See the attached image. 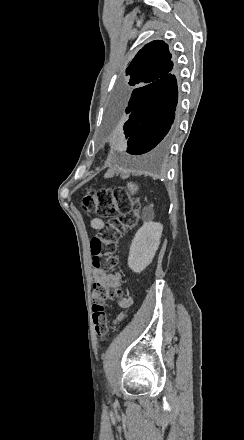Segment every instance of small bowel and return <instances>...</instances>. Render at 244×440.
I'll return each instance as SVG.
<instances>
[{
	"label": "small bowel",
	"instance_id": "c3829d8e",
	"mask_svg": "<svg viewBox=\"0 0 244 440\" xmlns=\"http://www.w3.org/2000/svg\"><path fill=\"white\" fill-rule=\"evenodd\" d=\"M90 225L92 227V229L94 230H100L103 226H104V222L103 220L99 219V218H94L91 220ZM92 281L94 283V285H106L108 287H118L120 284V276L118 274L115 273H108L105 269L103 268H93L92 270ZM133 298L132 297H127V298H123L121 299L118 304L120 307L122 308H129L130 306L133 305ZM123 319V315H118L115 320H114V324L119 323L120 321H122Z\"/></svg>",
	"mask_w": 244,
	"mask_h": 440
}]
</instances>
